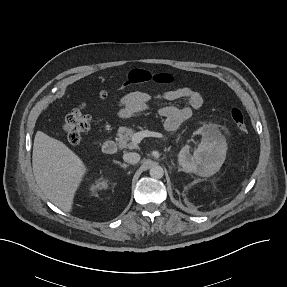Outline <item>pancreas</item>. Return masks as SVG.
<instances>
[{"label":"pancreas","instance_id":"cf45deb5","mask_svg":"<svg viewBox=\"0 0 287 287\" xmlns=\"http://www.w3.org/2000/svg\"><path fill=\"white\" fill-rule=\"evenodd\" d=\"M134 134V130L127 128V127H120L118 129V145L119 148H129V149H135L137 148V144H134L132 142V136Z\"/></svg>","mask_w":287,"mask_h":287}]
</instances>
